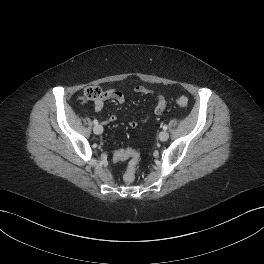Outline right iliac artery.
<instances>
[{
  "label": "right iliac artery",
  "mask_w": 264,
  "mask_h": 264,
  "mask_svg": "<svg viewBox=\"0 0 264 264\" xmlns=\"http://www.w3.org/2000/svg\"><path fill=\"white\" fill-rule=\"evenodd\" d=\"M93 123H94L95 125H98V120L95 119V120L93 121Z\"/></svg>",
  "instance_id": "right-iliac-artery-1"
}]
</instances>
